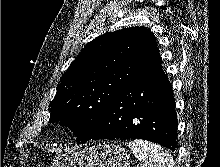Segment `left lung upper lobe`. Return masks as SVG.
Returning <instances> with one entry per match:
<instances>
[{"instance_id": "left-lung-upper-lobe-1", "label": "left lung upper lobe", "mask_w": 220, "mask_h": 167, "mask_svg": "<svg viewBox=\"0 0 220 167\" xmlns=\"http://www.w3.org/2000/svg\"><path fill=\"white\" fill-rule=\"evenodd\" d=\"M161 63L156 38L145 27L98 36L63 74L49 121L69 126L77 142L91 137L117 92Z\"/></svg>"}]
</instances>
